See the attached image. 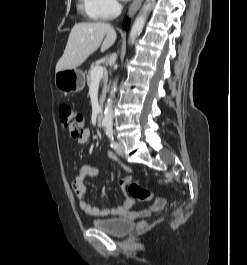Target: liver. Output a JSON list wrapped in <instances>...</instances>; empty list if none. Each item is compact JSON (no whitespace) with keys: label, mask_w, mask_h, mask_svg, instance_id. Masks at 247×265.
<instances>
[{"label":"liver","mask_w":247,"mask_h":265,"mask_svg":"<svg viewBox=\"0 0 247 265\" xmlns=\"http://www.w3.org/2000/svg\"><path fill=\"white\" fill-rule=\"evenodd\" d=\"M116 38L114 28L108 23H76L70 32L64 53L56 64V72L76 69L100 47L101 43V52H104L114 44Z\"/></svg>","instance_id":"liver-1"}]
</instances>
